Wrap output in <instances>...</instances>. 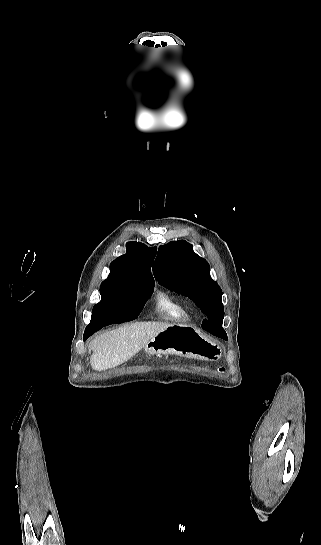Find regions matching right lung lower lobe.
<instances>
[{"instance_id": "obj_1", "label": "right lung lower lobe", "mask_w": 321, "mask_h": 545, "mask_svg": "<svg viewBox=\"0 0 321 545\" xmlns=\"http://www.w3.org/2000/svg\"><path fill=\"white\" fill-rule=\"evenodd\" d=\"M143 307L142 300L135 296H124L106 302L96 310V322H90L86 327L83 340L104 326L136 319Z\"/></svg>"}]
</instances>
